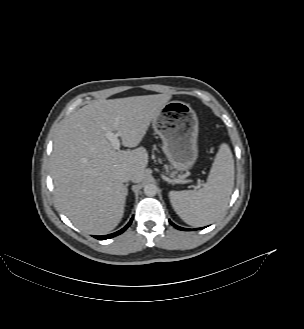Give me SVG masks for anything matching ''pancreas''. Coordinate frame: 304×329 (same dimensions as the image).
Here are the masks:
<instances>
[{
    "instance_id": "pancreas-1",
    "label": "pancreas",
    "mask_w": 304,
    "mask_h": 329,
    "mask_svg": "<svg viewBox=\"0 0 304 329\" xmlns=\"http://www.w3.org/2000/svg\"><path fill=\"white\" fill-rule=\"evenodd\" d=\"M165 168H166V171H167V172H169V171H168V167H167V166H165ZM175 174H176L175 172H172V173H170V175H171L172 177H174V176H175ZM180 177H182V176H180Z\"/></svg>"
}]
</instances>
